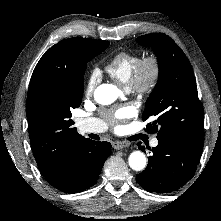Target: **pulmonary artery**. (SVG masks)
<instances>
[{
	"instance_id": "1",
	"label": "pulmonary artery",
	"mask_w": 221,
	"mask_h": 221,
	"mask_svg": "<svg viewBox=\"0 0 221 221\" xmlns=\"http://www.w3.org/2000/svg\"><path fill=\"white\" fill-rule=\"evenodd\" d=\"M77 127L81 133H101L106 129V124L97 118H84L77 120ZM151 145L156 147L158 139L154 138Z\"/></svg>"
}]
</instances>
